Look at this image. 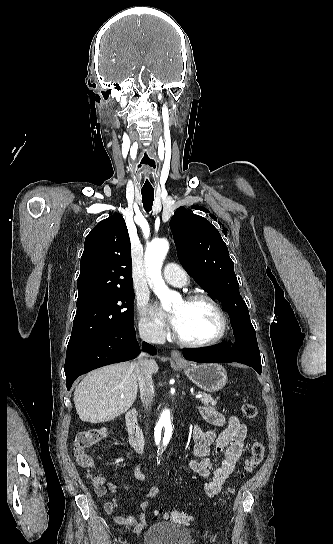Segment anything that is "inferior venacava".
Instances as JSON below:
<instances>
[{
	"mask_svg": "<svg viewBox=\"0 0 333 544\" xmlns=\"http://www.w3.org/2000/svg\"><path fill=\"white\" fill-rule=\"evenodd\" d=\"M139 334L142 340L149 343H156L163 339L162 332L154 327L140 328ZM148 363L149 360H147L146 355L141 354L134 364V373L139 383L141 400L146 410L151 409L154 397V384Z\"/></svg>",
	"mask_w": 333,
	"mask_h": 544,
	"instance_id": "1",
	"label": "inferior vena cava"
}]
</instances>
